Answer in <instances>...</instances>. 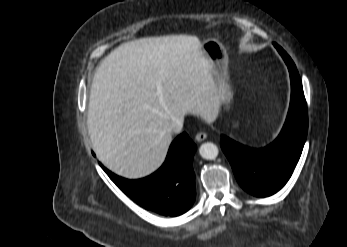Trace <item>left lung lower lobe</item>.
<instances>
[{"label":"left lung lower lobe","mask_w":347,"mask_h":247,"mask_svg":"<svg viewBox=\"0 0 347 247\" xmlns=\"http://www.w3.org/2000/svg\"><path fill=\"white\" fill-rule=\"evenodd\" d=\"M286 62L291 79V102L285 124L267 147L253 149L222 135L221 148L241 187L257 197L279 191L290 179L307 136L308 118L301 79L289 55L274 44Z\"/></svg>","instance_id":"left-lung-lower-lobe-1"}]
</instances>
